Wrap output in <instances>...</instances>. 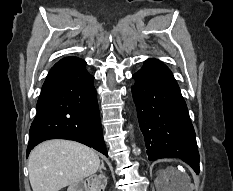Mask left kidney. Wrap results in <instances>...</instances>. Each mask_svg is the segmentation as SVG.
I'll return each mask as SVG.
<instances>
[{"instance_id": "1", "label": "left kidney", "mask_w": 233, "mask_h": 191, "mask_svg": "<svg viewBox=\"0 0 233 191\" xmlns=\"http://www.w3.org/2000/svg\"><path fill=\"white\" fill-rule=\"evenodd\" d=\"M169 179H171V181H175V178L170 173H167L165 176V180H166L167 184H168ZM168 188H169L168 191H180L179 189L181 188V184L180 183H173V184L169 185Z\"/></svg>"}]
</instances>
